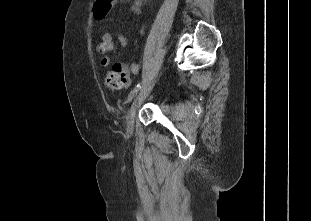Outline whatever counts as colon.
Instances as JSON below:
<instances>
[{"mask_svg":"<svg viewBox=\"0 0 311 221\" xmlns=\"http://www.w3.org/2000/svg\"><path fill=\"white\" fill-rule=\"evenodd\" d=\"M116 0H96L93 15L96 17V22H105V17L108 16V12H113V5ZM109 47L104 42V45L100 47L99 52L105 56L108 52ZM122 76V70L113 68L111 69L106 77V82L110 86H116L118 79Z\"/></svg>","mask_w":311,"mask_h":221,"instance_id":"5ec220e1","label":"colon"}]
</instances>
